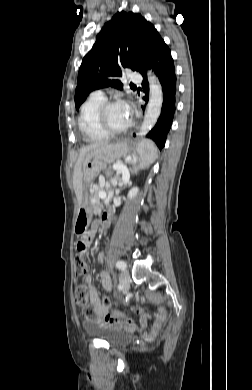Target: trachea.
Wrapping results in <instances>:
<instances>
[{"instance_id": "obj_1", "label": "trachea", "mask_w": 252, "mask_h": 390, "mask_svg": "<svg viewBox=\"0 0 252 390\" xmlns=\"http://www.w3.org/2000/svg\"><path fill=\"white\" fill-rule=\"evenodd\" d=\"M131 86H135L134 84H130Z\"/></svg>"}]
</instances>
